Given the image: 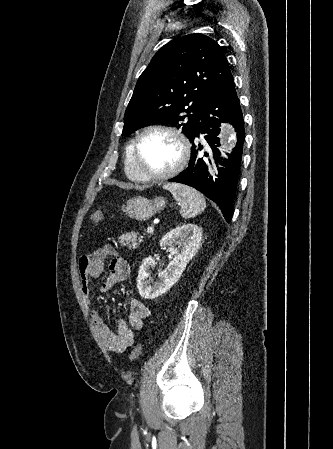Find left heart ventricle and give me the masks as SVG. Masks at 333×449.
<instances>
[{"mask_svg":"<svg viewBox=\"0 0 333 449\" xmlns=\"http://www.w3.org/2000/svg\"><path fill=\"white\" fill-rule=\"evenodd\" d=\"M180 157L177 141L162 132L147 134L140 144V165L147 174L163 173L171 169Z\"/></svg>","mask_w":333,"mask_h":449,"instance_id":"obj_1","label":"left heart ventricle"}]
</instances>
